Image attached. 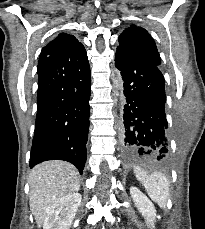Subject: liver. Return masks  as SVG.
I'll use <instances>...</instances> for the list:
<instances>
[{
	"instance_id": "obj_1",
	"label": "liver",
	"mask_w": 205,
	"mask_h": 229,
	"mask_svg": "<svg viewBox=\"0 0 205 229\" xmlns=\"http://www.w3.org/2000/svg\"><path fill=\"white\" fill-rule=\"evenodd\" d=\"M29 184L30 210L40 227L55 202L80 189V175L68 162L46 161L32 169Z\"/></svg>"
}]
</instances>
